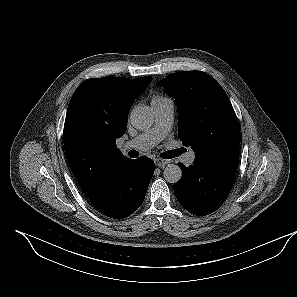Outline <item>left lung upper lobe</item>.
Listing matches in <instances>:
<instances>
[{
	"label": "left lung upper lobe",
	"mask_w": 297,
	"mask_h": 297,
	"mask_svg": "<svg viewBox=\"0 0 297 297\" xmlns=\"http://www.w3.org/2000/svg\"><path fill=\"white\" fill-rule=\"evenodd\" d=\"M178 107V136L206 161L240 145L239 123L221 85L201 71L170 74L159 82Z\"/></svg>",
	"instance_id": "1"
}]
</instances>
